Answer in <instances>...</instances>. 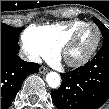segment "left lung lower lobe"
Segmentation results:
<instances>
[{"label": "left lung lower lobe", "mask_w": 109, "mask_h": 109, "mask_svg": "<svg viewBox=\"0 0 109 109\" xmlns=\"http://www.w3.org/2000/svg\"><path fill=\"white\" fill-rule=\"evenodd\" d=\"M60 88L52 91L58 109H97L109 98V44L84 66L61 74Z\"/></svg>", "instance_id": "obj_1"}]
</instances>
